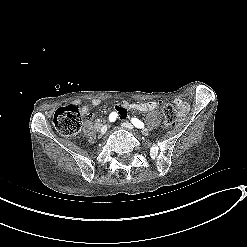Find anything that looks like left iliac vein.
<instances>
[{
	"label": "left iliac vein",
	"instance_id": "obj_1",
	"mask_svg": "<svg viewBox=\"0 0 247 247\" xmlns=\"http://www.w3.org/2000/svg\"><path fill=\"white\" fill-rule=\"evenodd\" d=\"M123 127L127 128L128 130H133V125L129 122H124L121 124Z\"/></svg>",
	"mask_w": 247,
	"mask_h": 247
}]
</instances>
